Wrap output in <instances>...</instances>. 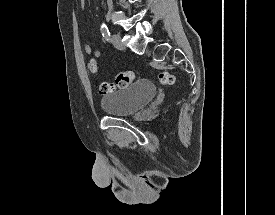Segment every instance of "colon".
<instances>
[{"instance_id": "obj_1", "label": "colon", "mask_w": 275, "mask_h": 215, "mask_svg": "<svg viewBox=\"0 0 275 215\" xmlns=\"http://www.w3.org/2000/svg\"><path fill=\"white\" fill-rule=\"evenodd\" d=\"M90 70L96 72L97 65L95 61H91L89 64ZM159 81L165 85H173L175 83V77L169 72L163 71L158 75ZM135 80V73L131 70H122L118 72L113 82H102L100 84V93L106 95L118 89H124L131 85Z\"/></svg>"}]
</instances>
